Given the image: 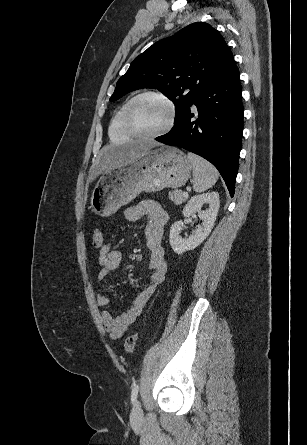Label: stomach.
<instances>
[{
    "label": "stomach",
    "instance_id": "obj_1",
    "mask_svg": "<svg viewBox=\"0 0 307 445\" xmlns=\"http://www.w3.org/2000/svg\"><path fill=\"white\" fill-rule=\"evenodd\" d=\"M191 170L190 158L176 146L144 148L134 160L103 172L92 192V210L99 216H110L140 192L183 186Z\"/></svg>",
    "mask_w": 307,
    "mask_h": 445
}]
</instances>
